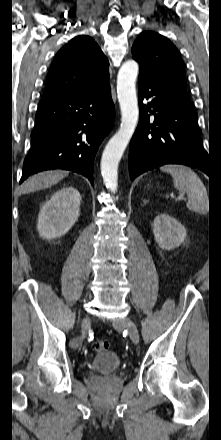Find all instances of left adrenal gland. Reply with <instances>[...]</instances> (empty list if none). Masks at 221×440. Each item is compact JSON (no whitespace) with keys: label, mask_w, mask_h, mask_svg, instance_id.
<instances>
[{"label":"left adrenal gland","mask_w":221,"mask_h":440,"mask_svg":"<svg viewBox=\"0 0 221 440\" xmlns=\"http://www.w3.org/2000/svg\"><path fill=\"white\" fill-rule=\"evenodd\" d=\"M143 203L146 204V203H147V200H143Z\"/></svg>","instance_id":"a2214340"}]
</instances>
